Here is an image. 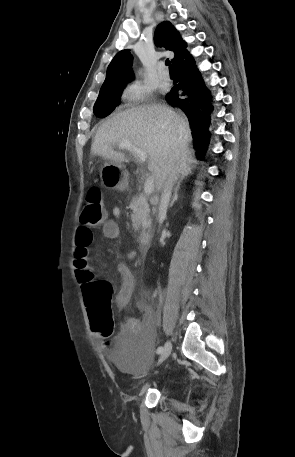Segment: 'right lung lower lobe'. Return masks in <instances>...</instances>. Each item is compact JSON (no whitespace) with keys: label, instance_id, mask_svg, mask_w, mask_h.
I'll return each instance as SVG.
<instances>
[{"label":"right lung lower lobe","instance_id":"right-lung-lower-lobe-1","mask_svg":"<svg viewBox=\"0 0 295 457\" xmlns=\"http://www.w3.org/2000/svg\"><path fill=\"white\" fill-rule=\"evenodd\" d=\"M173 66L179 83L166 95V100L185 112L193 131L195 148L199 155H203L209 140L212 97L206 90L192 55L187 50L173 62Z\"/></svg>","mask_w":295,"mask_h":457}]
</instances>
